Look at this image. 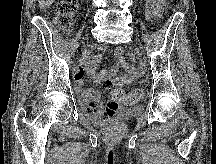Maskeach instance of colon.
I'll return each mask as SVG.
<instances>
[{"mask_svg": "<svg viewBox=\"0 0 216 164\" xmlns=\"http://www.w3.org/2000/svg\"><path fill=\"white\" fill-rule=\"evenodd\" d=\"M77 9V0H61L57 4L55 24L60 29H67L72 22L73 14ZM103 86L109 90L113 101L122 104H134L144 96L142 88L125 90L123 88H115L109 81H104Z\"/></svg>", "mask_w": 216, "mask_h": 164, "instance_id": "5ec220e1", "label": "colon"}]
</instances>
